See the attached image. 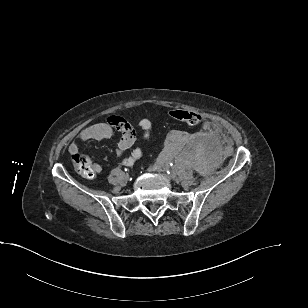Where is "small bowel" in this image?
Returning a JSON list of instances; mask_svg holds the SVG:
<instances>
[{"label":"small bowel","mask_w":308,"mask_h":308,"mask_svg":"<svg viewBox=\"0 0 308 308\" xmlns=\"http://www.w3.org/2000/svg\"><path fill=\"white\" fill-rule=\"evenodd\" d=\"M138 124L143 131L142 140L147 141L150 137L152 124L147 118H139ZM119 134L116 153L120 158V162L124 166H132L141 158L143 150L141 147H135L129 156H124V151L130 149L136 141V132L131 124L120 116H109L105 122L96 123L84 128L79 136V142H87L90 140H110ZM79 151L78 143H72L69 146L71 155ZM95 174H99L102 170L99 164L93 165Z\"/></svg>","instance_id":"1"}]
</instances>
